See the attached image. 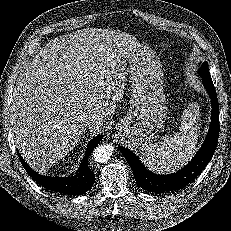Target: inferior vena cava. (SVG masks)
Wrapping results in <instances>:
<instances>
[{
  "mask_svg": "<svg viewBox=\"0 0 231 231\" xmlns=\"http://www.w3.org/2000/svg\"><path fill=\"white\" fill-rule=\"evenodd\" d=\"M87 126L91 127V126H101L103 124V122L98 121L96 119H89L86 121Z\"/></svg>",
  "mask_w": 231,
  "mask_h": 231,
  "instance_id": "obj_1",
  "label": "inferior vena cava"
}]
</instances>
